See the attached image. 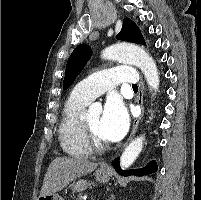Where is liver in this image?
Returning a JSON list of instances; mask_svg holds the SVG:
<instances>
[{
	"instance_id": "1",
	"label": "liver",
	"mask_w": 201,
	"mask_h": 200,
	"mask_svg": "<svg viewBox=\"0 0 201 200\" xmlns=\"http://www.w3.org/2000/svg\"><path fill=\"white\" fill-rule=\"evenodd\" d=\"M97 163L77 157H57L49 165L44 176L40 196L61 191L71 181L94 171Z\"/></svg>"
}]
</instances>
